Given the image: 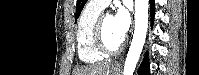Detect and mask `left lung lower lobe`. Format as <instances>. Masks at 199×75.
<instances>
[{"mask_svg": "<svg viewBox=\"0 0 199 75\" xmlns=\"http://www.w3.org/2000/svg\"><path fill=\"white\" fill-rule=\"evenodd\" d=\"M150 10H151V21L153 22L154 20V14H155V7H154V0H150ZM138 73L140 75H150L149 72V61H148V56L146 55L143 63L141 64Z\"/></svg>", "mask_w": 199, "mask_h": 75, "instance_id": "obj_1", "label": "left lung lower lobe"}]
</instances>
